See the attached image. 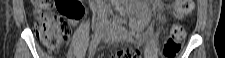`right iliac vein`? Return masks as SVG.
Wrapping results in <instances>:
<instances>
[{"mask_svg": "<svg viewBox=\"0 0 225 58\" xmlns=\"http://www.w3.org/2000/svg\"><path fill=\"white\" fill-rule=\"evenodd\" d=\"M104 25H105V22L104 21H99L97 23L96 28H95V32H94V38H93V40L100 41V39H101V37L103 35Z\"/></svg>", "mask_w": 225, "mask_h": 58, "instance_id": "right-iliac-vein-1", "label": "right iliac vein"}]
</instances>
